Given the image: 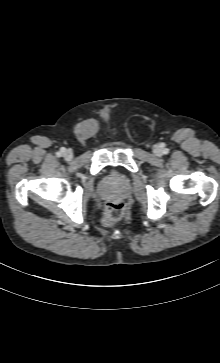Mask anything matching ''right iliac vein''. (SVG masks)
Instances as JSON below:
<instances>
[{
    "mask_svg": "<svg viewBox=\"0 0 220 363\" xmlns=\"http://www.w3.org/2000/svg\"><path fill=\"white\" fill-rule=\"evenodd\" d=\"M63 157H64V159H65L66 161H70V160H72V158H73V153H72V151H70V150H65V151L63 152Z\"/></svg>",
    "mask_w": 220,
    "mask_h": 363,
    "instance_id": "obj_1",
    "label": "right iliac vein"
}]
</instances>
